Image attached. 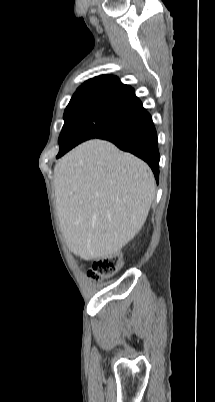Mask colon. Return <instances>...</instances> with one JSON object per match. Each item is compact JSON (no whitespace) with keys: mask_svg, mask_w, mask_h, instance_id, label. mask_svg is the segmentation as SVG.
<instances>
[{"mask_svg":"<svg viewBox=\"0 0 215 402\" xmlns=\"http://www.w3.org/2000/svg\"><path fill=\"white\" fill-rule=\"evenodd\" d=\"M121 265L122 260L119 255L100 257L93 261L89 275L96 281L109 278L119 271Z\"/></svg>","mask_w":215,"mask_h":402,"instance_id":"colon-1","label":"colon"}]
</instances>
